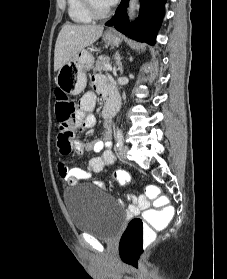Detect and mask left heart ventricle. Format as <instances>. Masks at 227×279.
Listing matches in <instances>:
<instances>
[{"mask_svg":"<svg viewBox=\"0 0 227 279\" xmlns=\"http://www.w3.org/2000/svg\"><path fill=\"white\" fill-rule=\"evenodd\" d=\"M92 1H93L94 6L99 11H104L110 6L106 0H92Z\"/></svg>","mask_w":227,"mask_h":279,"instance_id":"1","label":"left heart ventricle"}]
</instances>
